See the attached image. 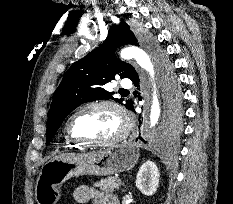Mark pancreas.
<instances>
[{
	"mask_svg": "<svg viewBox=\"0 0 233 204\" xmlns=\"http://www.w3.org/2000/svg\"><path fill=\"white\" fill-rule=\"evenodd\" d=\"M120 184L121 182L115 177H108L94 183L93 186L99 188L102 192L113 193L114 191L119 190Z\"/></svg>",
	"mask_w": 233,
	"mask_h": 204,
	"instance_id": "cf45deb5",
	"label": "pancreas"
}]
</instances>
